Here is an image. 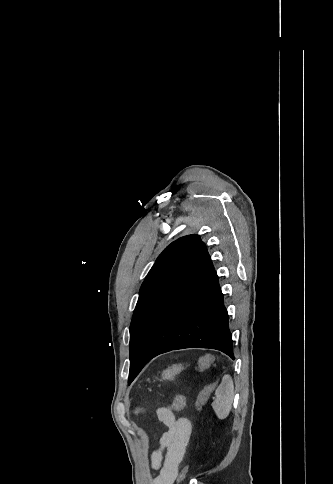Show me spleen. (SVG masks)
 Listing matches in <instances>:
<instances>
[{
  "label": "spleen",
  "instance_id": "obj_1",
  "mask_svg": "<svg viewBox=\"0 0 333 484\" xmlns=\"http://www.w3.org/2000/svg\"><path fill=\"white\" fill-rule=\"evenodd\" d=\"M215 396L212 408L218 419H226L230 413L234 396V384L230 375L223 376L221 384L215 391Z\"/></svg>",
  "mask_w": 333,
  "mask_h": 484
}]
</instances>
